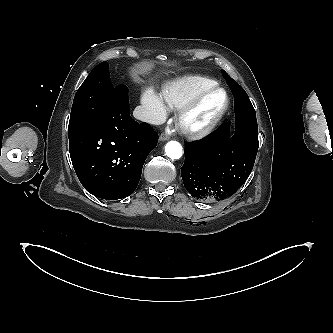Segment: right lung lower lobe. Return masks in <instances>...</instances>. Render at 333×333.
Masks as SVG:
<instances>
[{
  "label": "right lung lower lobe",
  "instance_id": "obj_1",
  "mask_svg": "<svg viewBox=\"0 0 333 333\" xmlns=\"http://www.w3.org/2000/svg\"><path fill=\"white\" fill-rule=\"evenodd\" d=\"M157 133L130 117L128 88L118 86L102 112L83 130L69 136L75 172L85 189L107 200L128 197L136 189Z\"/></svg>",
  "mask_w": 333,
  "mask_h": 333
}]
</instances>
